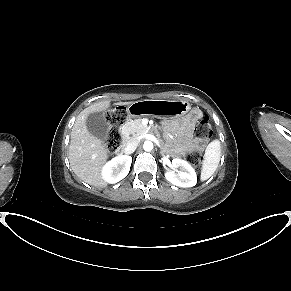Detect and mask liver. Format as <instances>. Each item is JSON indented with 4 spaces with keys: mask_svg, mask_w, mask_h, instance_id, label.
Returning <instances> with one entry per match:
<instances>
[{
    "mask_svg": "<svg viewBox=\"0 0 291 291\" xmlns=\"http://www.w3.org/2000/svg\"><path fill=\"white\" fill-rule=\"evenodd\" d=\"M132 102H118L127 105ZM110 106V101L95 103L84 109L77 117L71 131L69 161L79 179L96 187H105L101 169L108 158V150L103 142L93 136L86 127V118L94 112H101Z\"/></svg>",
    "mask_w": 291,
    "mask_h": 291,
    "instance_id": "liver-1",
    "label": "liver"
}]
</instances>
